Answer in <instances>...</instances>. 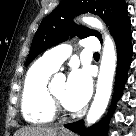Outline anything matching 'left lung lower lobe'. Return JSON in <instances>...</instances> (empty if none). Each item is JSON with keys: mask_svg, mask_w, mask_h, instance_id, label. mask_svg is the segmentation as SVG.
<instances>
[{"mask_svg": "<svg viewBox=\"0 0 136 136\" xmlns=\"http://www.w3.org/2000/svg\"><path fill=\"white\" fill-rule=\"evenodd\" d=\"M130 27V18L127 16L119 27L112 33L116 43L118 62L115 78V91L108 117L98 124L92 126L90 129H86L84 127L83 121L66 124V128L72 130L73 132L79 133L81 136H107L108 119L115 108L117 100L122 95L124 85L127 81V72L131 64L132 33Z\"/></svg>", "mask_w": 136, "mask_h": 136, "instance_id": "0a47b994", "label": "left lung lower lobe"}]
</instances>
